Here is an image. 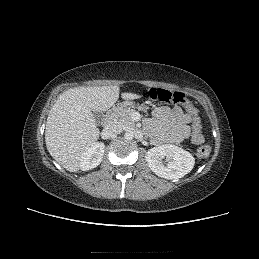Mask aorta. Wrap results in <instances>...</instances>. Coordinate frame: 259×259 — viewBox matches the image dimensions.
<instances>
[{"label": "aorta", "mask_w": 259, "mask_h": 259, "mask_svg": "<svg viewBox=\"0 0 259 259\" xmlns=\"http://www.w3.org/2000/svg\"><path fill=\"white\" fill-rule=\"evenodd\" d=\"M124 137L126 140H132L134 138V133L131 130L125 132Z\"/></svg>", "instance_id": "aorta-1"}]
</instances>
